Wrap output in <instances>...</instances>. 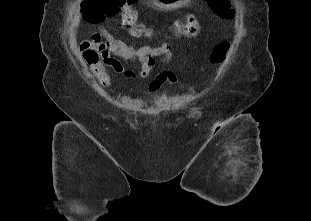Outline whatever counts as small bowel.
Here are the masks:
<instances>
[{
  "label": "small bowel",
  "mask_w": 311,
  "mask_h": 221,
  "mask_svg": "<svg viewBox=\"0 0 311 221\" xmlns=\"http://www.w3.org/2000/svg\"><path fill=\"white\" fill-rule=\"evenodd\" d=\"M146 35H151L149 29ZM103 36L106 50L108 46H127L128 48L127 53H110L109 57H103L104 64L127 79H135L138 75L146 83L150 94L156 93L164 84H172L176 81V76L168 69L152 78L156 66L167 64L172 59L173 51L169 43L162 46L134 47L108 31H104ZM157 57L160 58L156 59ZM134 64L139 65L138 73L131 69Z\"/></svg>",
  "instance_id": "c3829d8e"
}]
</instances>
